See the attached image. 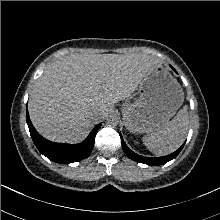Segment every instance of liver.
Returning <instances> with one entry per match:
<instances>
[{"instance_id": "obj_1", "label": "liver", "mask_w": 220, "mask_h": 220, "mask_svg": "<svg viewBox=\"0 0 220 220\" xmlns=\"http://www.w3.org/2000/svg\"><path fill=\"white\" fill-rule=\"evenodd\" d=\"M158 65V59L140 53L62 57L35 83L28 103L32 124L46 139L78 143ZM94 110L97 117H91Z\"/></svg>"}]
</instances>
